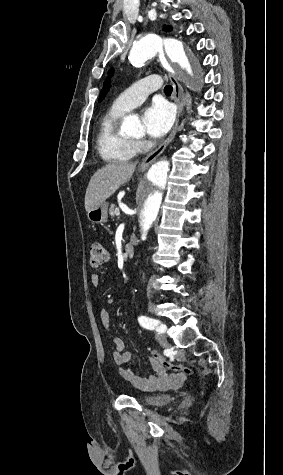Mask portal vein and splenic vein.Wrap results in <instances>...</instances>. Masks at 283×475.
Here are the masks:
<instances>
[{
  "mask_svg": "<svg viewBox=\"0 0 283 475\" xmlns=\"http://www.w3.org/2000/svg\"><path fill=\"white\" fill-rule=\"evenodd\" d=\"M115 214H116V216H120V210H119V208H117V210H115Z\"/></svg>",
  "mask_w": 283,
  "mask_h": 475,
  "instance_id": "portal-vein-and-splenic-vein-1",
  "label": "portal vein and splenic vein"
}]
</instances>
